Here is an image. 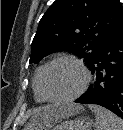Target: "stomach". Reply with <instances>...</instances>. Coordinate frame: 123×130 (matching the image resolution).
Instances as JSON below:
<instances>
[{"instance_id":"obj_1","label":"stomach","mask_w":123,"mask_h":130,"mask_svg":"<svg viewBox=\"0 0 123 130\" xmlns=\"http://www.w3.org/2000/svg\"><path fill=\"white\" fill-rule=\"evenodd\" d=\"M92 122L88 119H74L60 122L57 125L52 126L48 130H91ZM33 130V129H26Z\"/></svg>"}]
</instances>
